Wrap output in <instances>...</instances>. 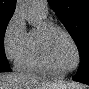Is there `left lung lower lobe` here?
I'll return each mask as SVG.
<instances>
[{"label":"left lung lower lobe","instance_id":"0a47b994","mask_svg":"<svg viewBox=\"0 0 89 89\" xmlns=\"http://www.w3.org/2000/svg\"><path fill=\"white\" fill-rule=\"evenodd\" d=\"M74 81L82 82L89 85V69L81 68L73 77Z\"/></svg>","mask_w":89,"mask_h":89}]
</instances>
